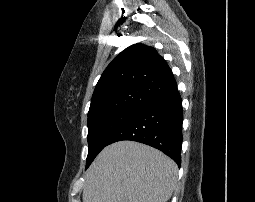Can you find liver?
<instances>
[{"label": "liver", "instance_id": "6515ba94", "mask_svg": "<svg viewBox=\"0 0 255 202\" xmlns=\"http://www.w3.org/2000/svg\"><path fill=\"white\" fill-rule=\"evenodd\" d=\"M178 167L161 151L134 141L105 147L89 167L83 202H167Z\"/></svg>", "mask_w": 255, "mask_h": 202}]
</instances>
